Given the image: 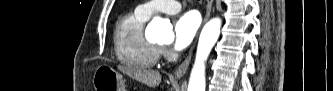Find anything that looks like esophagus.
<instances>
[{
  "label": "esophagus",
  "mask_w": 333,
  "mask_h": 91,
  "mask_svg": "<svg viewBox=\"0 0 333 91\" xmlns=\"http://www.w3.org/2000/svg\"><path fill=\"white\" fill-rule=\"evenodd\" d=\"M212 4H213V0H207V8H206L205 17L203 19V24L208 21L210 15H211ZM194 47L195 46H193L191 48V51L189 52L186 59L176 69V71H175V76L176 77H182L186 73V71L189 67L190 61H191V57H192V54H193Z\"/></svg>",
  "instance_id": "esophagus-1"
}]
</instances>
